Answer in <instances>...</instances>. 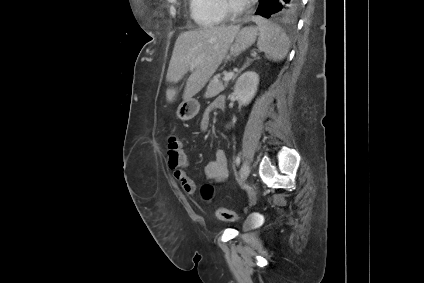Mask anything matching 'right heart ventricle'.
Wrapping results in <instances>:
<instances>
[{
  "label": "right heart ventricle",
  "instance_id": "right-heart-ventricle-1",
  "mask_svg": "<svg viewBox=\"0 0 424 283\" xmlns=\"http://www.w3.org/2000/svg\"><path fill=\"white\" fill-rule=\"evenodd\" d=\"M190 10L192 19L203 28L219 26L226 20L222 0H190Z\"/></svg>",
  "mask_w": 424,
  "mask_h": 283
}]
</instances>
